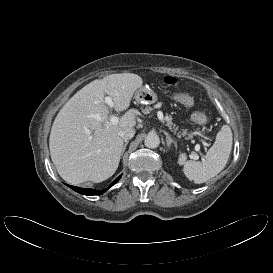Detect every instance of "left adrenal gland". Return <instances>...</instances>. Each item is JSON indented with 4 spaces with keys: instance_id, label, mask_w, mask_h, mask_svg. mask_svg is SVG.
I'll return each instance as SVG.
<instances>
[{
    "instance_id": "obj_1",
    "label": "left adrenal gland",
    "mask_w": 273,
    "mask_h": 273,
    "mask_svg": "<svg viewBox=\"0 0 273 273\" xmlns=\"http://www.w3.org/2000/svg\"><path fill=\"white\" fill-rule=\"evenodd\" d=\"M164 134H165V136H166V143H167V146L170 148V147H171V144L173 143L174 146L177 147L176 141L173 140L167 132H164Z\"/></svg>"
}]
</instances>
